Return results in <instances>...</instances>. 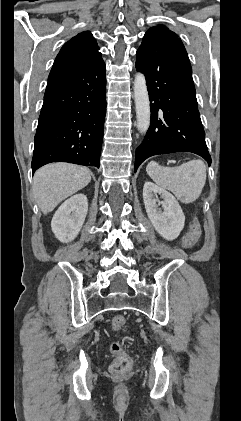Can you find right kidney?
Returning a JSON list of instances; mask_svg holds the SVG:
<instances>
[{
  "mask_svg": "<svg viewBox=\"0 0 241 421\" xmlns=\"http://www.w3.org/2000/svg\"><path fill=\"white\" fill-rule=\"evenodd\" d=\"M88 211V201L84 194H76L67 199L55 212L51 228L56 238L68 243L79 234Z\"/></svg>",
  "mask_w": 241,
  "mask_h": 421,
  "instance_id": "obj_1",
  "label": "right kidney"
}]
</instances>
